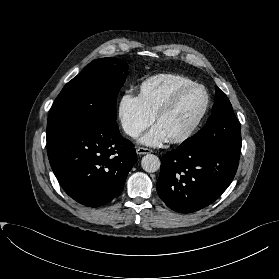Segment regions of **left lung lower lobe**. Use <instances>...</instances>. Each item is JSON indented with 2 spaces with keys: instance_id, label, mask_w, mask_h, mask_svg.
Here are the masks:
<instances>
[{
  "instance_id": "obj_1",
  "label": "left lung lower lobe",
  "mask_w": 279,
  "mask_h": 279,
  "mask_svg": "<svg viewBox=\"0 0 279 279\" xmlns=\"http://www.w3.org/2000/svg\"><path fill=\"white\" fill-rule=\"evenodd\" d=\"M238 163L239 151L226 147H178L161 159L157 193L176 212H196L228 188Z\"/></svg>"
}]
</instances>
